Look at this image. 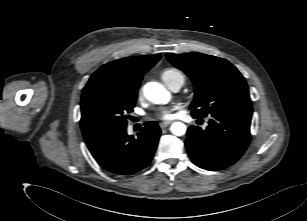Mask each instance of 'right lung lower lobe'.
<instances>
[{"label":"right lung lower lobe","mask_w":307,"mask_h":221,"mask_svg":"<svg viewBox=\"0 0 307 221\" xmlns=\"http://www.w3.org/2000/svg\"><path fill=\"white\" fill-rule=\"evenodd\" d=\"M161 130L156 122L145 123L138 138L129 136L126 128L88 146L98 164L115 175H132L146 168L154 155Z\"/></svg>","instance_id":"obj_1"}]
</instances>
